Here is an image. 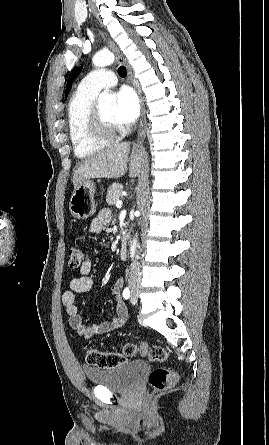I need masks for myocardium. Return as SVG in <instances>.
<instances>
[{
	"label": "myocardium",
	"instance_id": "myocardium-1",
	"mask_svg": "<svg viewBox=\"0 0 269 445\" xmlns=\"http://www.w3.org/2000/svg\"><path fill=\"white\" fill-rule=\"evenodd\" d=\"M88 128L93 136L103 139L114 138L119 130L118 126L113 122L107 121L95 106H93L89 114Z\"/></svg>",
	"mask_w": 269,
	"mask_h": 445
}]
</instances>
